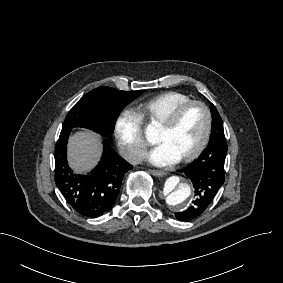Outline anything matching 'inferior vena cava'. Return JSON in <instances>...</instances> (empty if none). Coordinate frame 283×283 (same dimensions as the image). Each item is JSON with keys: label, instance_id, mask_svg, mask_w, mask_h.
<instances>
[{"label": "inferior vena cava", "instance_id": "602c4592", "mask_svg": "<svg viewBox=\"0 0 283 283\" xmlns=\"http://www.w3.org/2000/svg\"><path fill=\"white\" fill-rule=\"evenodd\" d=\"M147 151L138 146H130L128 148L126 159L132 165L140 164L146 157Z\"/></svg>", "mask_w": 283, "mask_h": 283}]
</instances>
